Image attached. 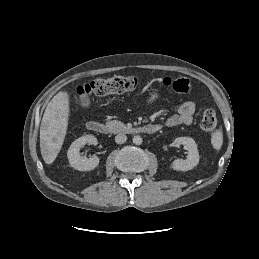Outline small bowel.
<instances>
[{"label":"small bowel","instance_id":"obj_1","mask_svg":"<svg viewBox=\"0 0 259 259\" xmlns=\"http://www.w3.org/2000/svg\"><path fill=\"white\" fill-rule=\"evenodd\" d=\"M196 110V105L193 101H185L182 103L177 112L171 114L165 121L167 127H175L181 124H190L193 120V115Z\"/></svg>","mask_w":259,"mask_h":259}]
</instances>
